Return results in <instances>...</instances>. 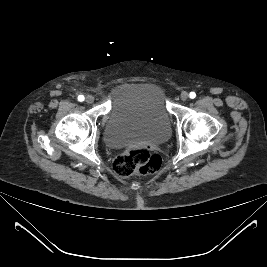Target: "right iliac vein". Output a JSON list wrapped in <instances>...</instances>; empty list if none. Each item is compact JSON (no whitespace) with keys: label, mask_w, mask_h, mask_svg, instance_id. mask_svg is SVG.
<instances>
[{"label":"right iliac vein","mask_w":267,"mask_h":267,"mask_svg":"<svg viewBox=\"0 0 267 267\" xmlns=\"http://www.w3.org/2000/svg\"><path fill=\"white\" fill-rule=\"evenodd\" d=\"M85 102L88 104H92L94 102V97L92 95H87L85 98Z\"/></svg>","instance_id":"63e3f726"}]
</instances>
